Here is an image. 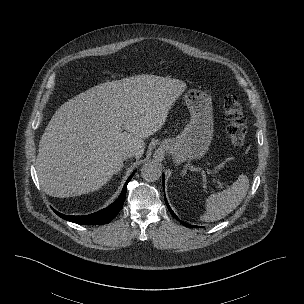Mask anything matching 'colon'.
<instances>
[{"instance_id": "obj_1", "label": "colon", "mask_w": 304, "mask_h": 304, "mask_svg": "<svg viewBox=\"0 0 304 304\" xmlns=\"http://www.w3.org/2000/svg\"><path fill=\"white\" fill-rule=\"evenodd\" d=\"M223 113L227 121V135L232 147L243 148L247 137V124L242 106L235 96H227L224 99Z\"/></svg>"}]
</instances>
